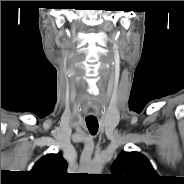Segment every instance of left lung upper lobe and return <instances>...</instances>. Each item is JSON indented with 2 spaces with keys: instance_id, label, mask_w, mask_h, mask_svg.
I'll list each match as a JSON object with an SVG mask.
<instances>
[{
  "instance_id": "5c2ea615",
  "label": "left lung upper lobe",
  "mask_w": 184,
  "mask_h": 184,
  "mask_svg": "<svg viewBox=\"0 0 184 184\" xmlns=\"http://www.w3.org/2000/svg\"><path fill=\"white\" fill-rule=\"evenodd\" d=\"M111 173L116 184H155L158 177L149 160L139 152H122Z\"/></svg>"
}]
</instances>
